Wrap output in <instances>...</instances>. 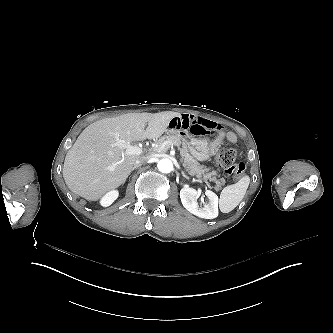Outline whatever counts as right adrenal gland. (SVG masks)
<instances>
[{
    "instance_id": "2a0ac1e0",
    "label": "right adrenal gland",
    "mask_w": 333,
    "mask_h": 333,
    "mask_svg": "<svg viewBox=\"0 0 333 333\" xmlns=\"http://www.w3.org/2000/svg\"><path fill=\"white\" fill-rule=\"evenodd\" d=\"M137 168V166H134L132 169H131V172L134 170V169H136Z\"/></svg>"
}]
</instances>
